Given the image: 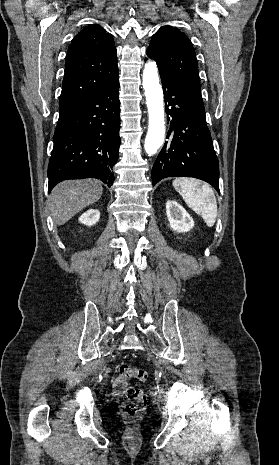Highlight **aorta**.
<instances>
[{"label": "aorta", "mask_w": 279, "mask_h": 465, "mask_svg": "<svg viewBox=\"0 0 279 465\" xmlns=\"http://www.w3.org/2000/svg\"><path fill=\"white\" fill-rule=\"evenodd\" d=\"M143 88L148 108L149 126L144 149L151 156L157 152L165 138L163 92L159 84L156 62H148L143 70Z\"/></svg>", "instance_id": "762f6f07"}]
</instances>
